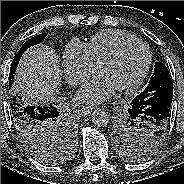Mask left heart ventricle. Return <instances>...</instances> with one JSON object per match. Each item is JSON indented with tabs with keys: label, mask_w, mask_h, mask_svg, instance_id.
I'll return each instance as SVG.
<instances>
[{
	"label": "left heart ventricle",
	"mask_w": 184,
	"mask_h": 184,
	"mask_svg": "<svg viewBox=\"0 0 184 184\" xmlns=\"http://www.w3.org/2000/svg\"><path fill=\"white\" fill-rule=\"evenodd\" d=\"M146 59L147 52L143 47L132 46L115 61L106 65L101 70V74L105 75L118 89L129 84L139 75Z\"/></svg>",
	"instance_id": "1"
}]
</instances>
